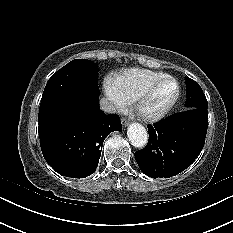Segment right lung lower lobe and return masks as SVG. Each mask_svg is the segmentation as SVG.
Returning <instances> with one entry per match:
<instances>
[{"mask_svg":"<svg viewBox=\"0 0 233 233\" xmlns=\"http://www.w3.org/2000/svg\"><path fill=\"white\" fill-rule=\"evenodd\" d=\"M99 95L81 91L74 116H56L39 123L40 146L47 163L59 174L84 178L95 172L104 139L121 131L118 115H105Z\"/></svg>","mask_w":233,"mask_h":233,"instance_id":"98d812e1","label":"right lung lower lobe"}]
</instances>
